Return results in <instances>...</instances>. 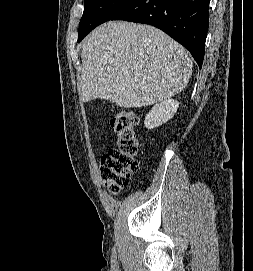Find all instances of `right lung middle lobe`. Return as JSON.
<instances>
[{
	"instance_id": "dd1d6c3e",
	"label": "right lung middle lobe",
	"mask_w": 253,
	"mask_h": 271,
	"mask_svg": "<svg viewBox=\"0 0 253 271\" xmlns=\"http://www.w3.org/2000/svg\"><path fill=\"white\" fill-rule=\"evenodd\" d=\"M129 2L130 0H84L78 41H81L96 26L111 20Z\"/></svg>"
}]
</instances>
